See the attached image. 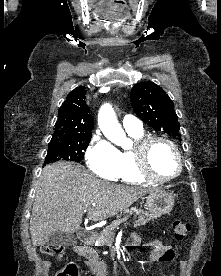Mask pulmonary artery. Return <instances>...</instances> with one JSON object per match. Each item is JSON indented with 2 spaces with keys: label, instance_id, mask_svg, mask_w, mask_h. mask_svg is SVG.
<instances>
[{
  "label": "pulmonary artery",
  "instance_id": "pulmonary-artery-1",
  "mask_svg": "<svg viewBox=\"0 0 221 276\" xmlns=\"http://www.w3.org/2000/svg\"><path fill=\"white\" fill-rule=\"evenodd\" d=\"M122 123L127 132H140L143 130L142 122L135 116L126 115Z\"/></svg>",
  "mask_w": 221,
  "mask_h": 276
}]
</instances>
